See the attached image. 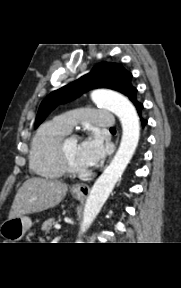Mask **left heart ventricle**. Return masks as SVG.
<instances>
[{
	"instance_id": "obj_1",
	"label": "left heart ventricle",
	"mask_w": 181,
	"mask_h": 288,
	"mask_svg": "<svg viewBox=\"0 0 181 288\" xmlns=\"http://www.w3.org/2000/svg\"><path fill=\"white\" fill-rule=\"evenodd\" d=\"M78 141L76 139H71L65 144V153L70 163L76 168L83 170L85 167L80 163L78 158Z\"/></svg>"
}]
</instances>
